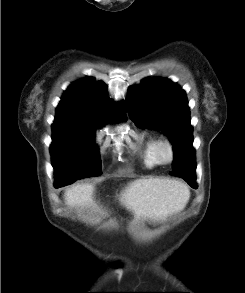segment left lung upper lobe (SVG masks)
<instances>
[{"mask_svg": "<svg viewBox=\"0 0 245 293\" xmlns=\"http://www.w3.org/2000/svg\"><path fill=\"white\" fill-rule=\"evenodd\" d=\"M127 110L136 126L162 129L174 149L175 176H196L193 128L186 93L166 78H146L128 92Z\"/></svg>", "mask_w": 245, "mask_h": 293, "instance_id": "obj_1", "label": "left lung upper lobe"}]
</instances>
